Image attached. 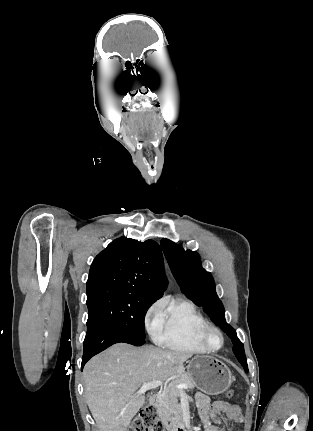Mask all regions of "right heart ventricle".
<instances>
[{
	"instance_id": "1",
	"label": "right heart ventricle",
	"mask_w": 313,
	"mask_h": 431,
	"mask_svg": "<svg viewBox=\"0 0 313 431\" xmlns=\"http://www.w3.org/2000/svg\"><path fill=\"white\" fill-rule=\"evenodd\" d=\"M207 322L196 307L187 299H173L163 304L162 327L156 341L171 350L204 353L201 333Z\"/></svg>"
}]
</instances>
